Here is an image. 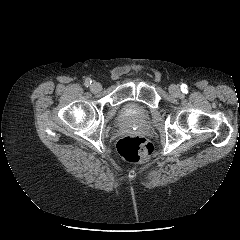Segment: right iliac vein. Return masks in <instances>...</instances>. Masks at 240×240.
Here are the masks:
<instances>
[{
  "label": "right iliac vein",
  "instance_id": "right-iliac-vein-1",
  "mask_svg": "<svg viewBox=\"0 0 240 240\" xmlns=\"http://www.w3.org/2000/svg\"><path fill=\"white\" fill-rule=\"evenodd\" d=\"M90 89H91L92 92L98 93V92L101 91L102 86H101L100 83L94 82L90 85Z\"/></svg>",
  "mask_w": 240,
  "mask_h": 240
}]
</instances>
